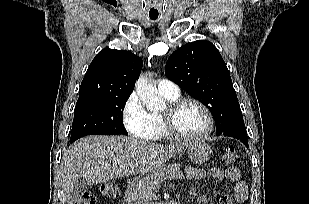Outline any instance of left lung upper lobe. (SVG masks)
Here are the masks:
<instances>
[{
    "label": "left lung upper lobe",
    "instance_id": "1",
    "mask_svg": "<svg viewBox=\"0 0 309 204\" xmlns=\"http://www.w3.org/2000/svg\"><path fill=\"white\" fill-rule=\"evenodd\" d=\"M165 74L212 113L216 133L244 124L229 70L217 48L209 41L187 43L166 63Z\"/></svg>",
    "mask_w": 309,
    "mask_h": 204
}]
</instances>
